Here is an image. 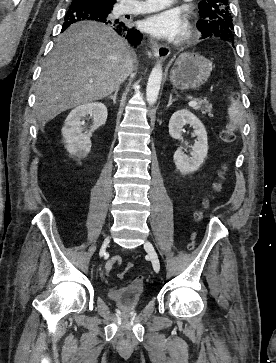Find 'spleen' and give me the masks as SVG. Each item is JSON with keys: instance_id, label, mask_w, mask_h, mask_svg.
<instances>
[{"instance_id": "obj_1", "label": "spleen", "mask_w": 276, "mask_h": 363, "mask_svg": "<svg viewBox=\"0 0 276 363\" xmlns=\"http://www.w3.org/2000/svg\"><path fill=\"white\" fill-rule=\"evenodd\" d=\"M228 115L230 118L231 128L232 130L242 122L243 117V107L238 100H233L230 107L228 108Z\"/></svg>"}]
</instances>
